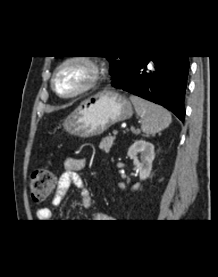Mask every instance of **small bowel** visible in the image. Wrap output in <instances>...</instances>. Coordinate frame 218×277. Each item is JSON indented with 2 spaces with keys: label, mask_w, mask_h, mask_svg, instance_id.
Listing matches in <instances>:
<instances>
[{
  "label": "small bowel",
  "mask_w": 218,
  "mask_h": 277,
  "mask_svg": "<svg viewBox=\"0 0 218 277\" xmlns=\"http://www.w3.org/2000/svg\"><path fill=\"white\" fill-rule=\"evenodd\" d=\"M86 161L84 158L69 157L64 161V171L60 175L56 191L52 198L53 205H59L66 196L71 184L73 183L81 191V201L85 208H89L92 203V197L90 191L85 186L79 172L84 169ZM36 216L39 222H47L52 217V211L48 207H40L36 211ZM97 219L103 218V215L97 213L95 215Z\"/></svg>",
  "instance_id": "1"
}]
</instances>
